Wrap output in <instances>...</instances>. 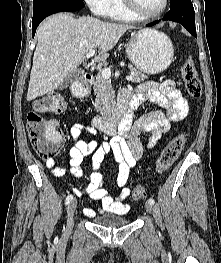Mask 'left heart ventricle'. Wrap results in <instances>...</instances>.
<instances>
[{
	"mask_svg": "<svg viewBox=\"0 0 221 263\" xmlns=\"http://www.w3.org/2000/svg\"><path fill=\"white\" fill-rule=\"evenodd\" d=\"M136 2L143 13L150 14L158 11L164 0H136Z\"/></svg>",
	"mask_w": 221,
	"mask_h": 263,
	"instance_id": "left-heart-ventricle-1",
	"label": "left heart ventricle"
}]
</instances>
